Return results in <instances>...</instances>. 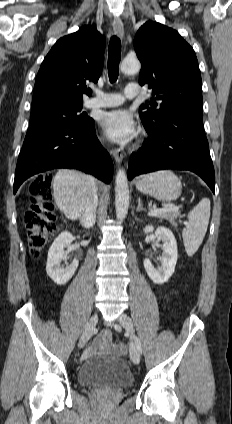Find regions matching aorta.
I'll return each mask as SVG.
<instances>
[{"label":"aorta","mask_w":232,"mask_h":424,"mask_svg":"<svg viewBox=\"0 0 232 424\" xmlns=\"http://www.w3.org/2000/svg\"><path fill=\"white\" fill-rule=\"evenodd\" d=\"M141 69V64L136 58H125L120 70L124 74H135ZM115 208L117 220H124L129 207V187L128 179L124 169H119L115 180Z\"/></svg>","instance_id":"762f6f07"}]
</instances>
